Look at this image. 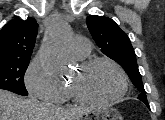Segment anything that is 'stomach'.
<instances>
[{"mask_svg": "<svg viewBox=\"0 0 165 120\" xmlns=\"http://www.w3.org/2000/svg\"><path fill=\"white\" fill-rule=\"evenodd\" d=\"M123 120L121 114L114 108L91 109L82 120Z\"/></svg>", "mask_w": 165, "mask_h": 120, "instance_id": "1", "label": "stomach"}]
</instances>
